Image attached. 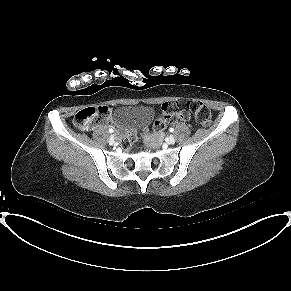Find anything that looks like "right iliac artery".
<instances>
[{
	"label": "right iliac artery",
	"mask_w": 291,
	"mask_h": 291,
	"mask_svg": "<svg viewBox=\"0 0 291 291\" xmlns=\"http://www.w3.org/2000/svg\"><path fill=\"white\" fill-rule=\"evenodd\" d=\"M109 132H110V133H113V129H109Z\"/></svg>",
	"instance_id": "82829eb1"
}]
</instances>
